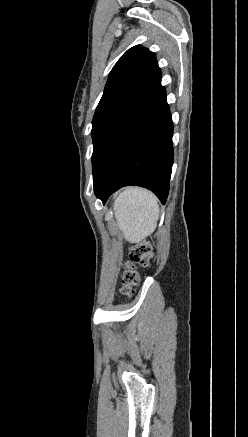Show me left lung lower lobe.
<instances>
[{
  "mask_svg": "<svg viewBox=\"0 0 248 437\" xmlns=\"http://www.w3.org/2000/svg\"><path fill=\"white\" fill-rule=\"evenodd\" d=\"M173 123L161 86L113 134L93 178L94 192L105 204L127 185L153 191L165 204L173 164Z\"/></svg>",
  "mask_w": 248,
  "mask_h": 437,
  "instance_id": "1",
  "label": "left lung lower lobe"
}]
</instances>
